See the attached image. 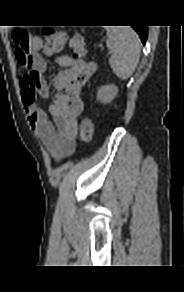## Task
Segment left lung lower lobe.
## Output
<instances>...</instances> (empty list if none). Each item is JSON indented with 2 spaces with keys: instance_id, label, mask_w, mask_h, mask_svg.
<instances>
[{
  "instance_id": "obj_1",
  "label": "left lung lower lobe",
  "mask_w": 184,
  "mask_h": 292,
  "mask_svg": "<svg viewBox=\"0 0 184 292\" xmlns=\"http://www.w3.org/2000/svg\"><path fill=\"white\" fill-rule=\"evenodd\" d=\"M135 31L139 34L143 44H145L146 38H147V26H132Z\"/></svg>"
}]
</instances>
